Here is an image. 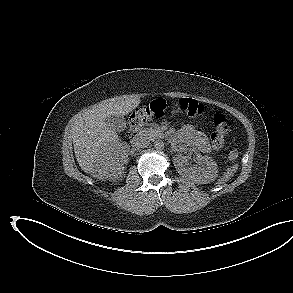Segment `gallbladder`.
Segmentation results:
<instances>
[{
	"instance_id": "gallbladder-1",
	"label": "gallbladder",
	"mask_w": 293,
	"mask_h": 293,
	"mask_svg": "<svg viewBox=\"0 0 293 293\" xmlns=\"http://www.w3.org/2000/svg\"><path fill=\"white\" fill-rule=\"evenodd\" d=\"M106 125L115 132H122L126 128V120L124 116L110 115L105 119Z\"/></svg>"
}]
</instances>
